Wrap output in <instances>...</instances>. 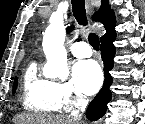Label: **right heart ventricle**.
I'll list each match as a JSON object with an SVG mask.
<instances>
[{"instance_id":"1","label":"right heart ventricle","mask_w":145,"mask_h":124,"mask_svg":"<svg viewBox=\"0 0 145 124\" xmlns=\"http://www.w3.org/2000/svg\"><path fill=\"white\" fill-rule=\"evenodd\" d=\"M22 104L26 109L35 112L59 111L52 100L50 81L37 75L33 63L28 66L23 76Z\"/></svg>"}]
</instances>
